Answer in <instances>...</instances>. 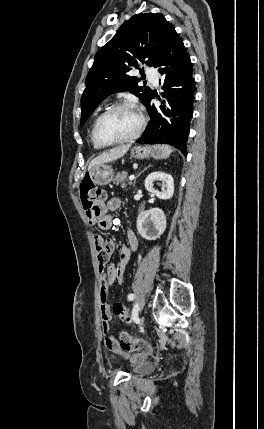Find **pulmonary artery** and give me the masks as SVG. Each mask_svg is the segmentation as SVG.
Listing matches in <instances>:
<instances>
[{
	"instance_id": "obj_1",
	"label": "pulmonary artery",
	"mask_w": 264,
	"mask_h": 429,
	"mask_svg": "<svg viewBox=\"0 0 264 429\" xmlns=\"http://www.w3.org/2000/svg\"><path fill=\"white\" fill-rule=\"evenodd\" d=\"M147 78L149 79V81L154 84L155 86L158 85V73L157 71L152 68V67H148L145 71Z\"/></svg>"
}]
</instances>
